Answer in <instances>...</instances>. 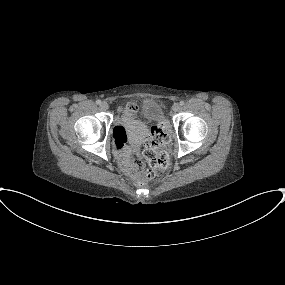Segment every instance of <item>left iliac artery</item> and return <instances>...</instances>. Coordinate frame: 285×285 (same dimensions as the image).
<instances>
[{
  "mask_svg": "<svg viewBox=\"0 0 285 285\" xmlns=\"http://www.w3.org/2000/svg\"><path fill=\"white\" fill-rule=\"evenodd\" d=\"M185 103L184 101H180V105L183 106Z\"/></svg>",
  "mask_w": 285,
  "mask_h": 285,
  "instance_id": "obj_1",
  "label": "left iliac artery"
}]
</instances>
